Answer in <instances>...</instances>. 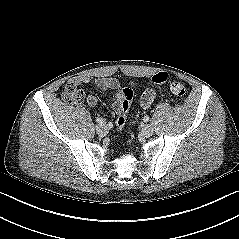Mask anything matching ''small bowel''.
Here are the masks:
<instances>
[{"instance_id":"small-bowel-1","label":"small bowel","mask_w":239,"mask_h":239,"mask_svg":"<svg viewBox=\"0 0 239 239\" xmlns=\"http://www.w3.org/2000/svg\"><path fill=\"white\" fill-rule=\"evenodd\" d=\"M90 81L88 76H77L72 79V82L76 85L87 84ZM96 86L103 91H112V95L109 97V102L111 103L112 109L115 113H119L121 110V102L123 94L120 90V83L115 78H98L96 81ZM155 99V91L153 89L146 90L141 97V106L144 108H149ZM87 104L89 106H95L97 104V97L90 94L86 98Z\"/></svg>"}]
</instances>
